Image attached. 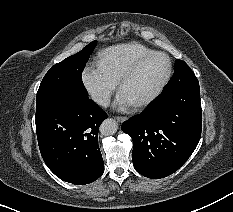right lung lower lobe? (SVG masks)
<instances>
[{"label":"right lung lower lobe","instance_id":"1","mask_svg":"<svg viewBox=\"0 0 233 212\" xmlns=\"http://www.w3.org/2000/svg\"><path fill=\"white\" fill-rule=\"evenodd\" d=\"M107 117L87 93L76 91L62 95L58 102L36 116L41 155L57 177L82 185L103 174L98 130Z\"/></svg>","mask_w":233,"mask_h":212}]
</instances>
